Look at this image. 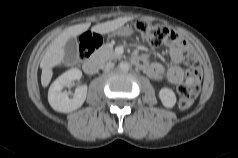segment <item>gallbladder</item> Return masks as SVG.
Segmentation results:
<instances>
[{
	"label": "gallbladder",
	"mask_w": 238,
	"mask_h": 158,
	"mask_svg": "<svg viewBox=\"0 0 238 158\" xmlns=\"http://www.w3.org/2000/svg\"><path fill=\"white\" fill-rule=\"evenodd\" d=\"M78 40L75 37L68 39L64 46L65 56L64 63L66 65H74L78 62Z\"/></svg>",
	"instance_id": "obj_1"
}]
</instances>
